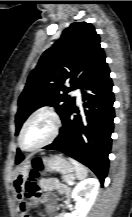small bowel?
<instances>
[{
    "label": "small bowel",
    "instance_id": "1",
    "mask_svg": "<svg viewBox=\"0 0 132 217\" xmlns=\"http://www.w3.org/2000/svg\"><path fill=\"white\" fill-rule=\"evenodd\" d=\"M40 185L43 191L46 192V194L42 197L41 201L45 204L46 211L49 214H53L56 210L55 202L49 195L50 192L55 191L66 200L70 199V188L60 183L59 180H57L56 178H44L40 181ZM18 198L20 200L19 208L21 217H30L28 213L30 203L23 200V195L20 192L18 194Z\"/></svg>",
    "mask_w": 132,
    "mask_h": 217
}]
</instances>
